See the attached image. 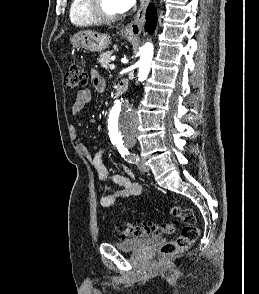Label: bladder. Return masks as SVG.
Here are the masks:
<instances>
[{
	"label": "bladder",
	"mask_w": 259,
	"mask_h": 294,
	"mask_svg": "<svg viewBox=\"0 0 259 294\" xmlns=\"http://www.w3.org/2000/svg\"><path fill=\"white\" fill-rule=\"evenodd\" d=\"M160 239L159 236H153L148 238H128L119 242H113L112 244L120 251L124 252H136L143 249L145 246L154 243Z\"/></svg>",
	"instance_id": "bladder-1"
}]
</instances>
